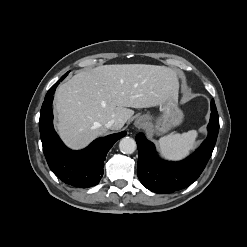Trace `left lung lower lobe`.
<instances>
[{
	"label": "left lung lower lobe",
	"mask_w": 247,
	"mask_h": 247,
	"mask_svg": "<svg viewBox=\"0 0 247 247\" xmlns=\"http://www.w3.org/2000/svg\"><path fill=\"white\" fill-rule=\"evenodd\" d=\"M211 109L216 110L214 100ZM208 137L200 148L179 162L163 161L156 155L154 144L142 133L136 136L138 146L137 174L141 183L157 193H170L192 184L204 170L212 155L218 136L219 124L209 122Z\"/></svg>",
	"instance_id": "left-lung-lower-lobe-1"
}]
</instances>
